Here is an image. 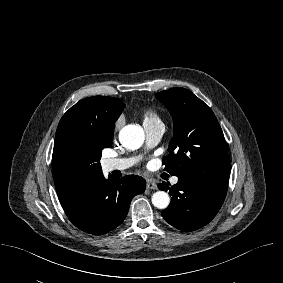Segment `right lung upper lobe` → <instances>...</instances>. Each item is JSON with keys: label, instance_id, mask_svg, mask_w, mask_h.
I'll return each instance as SVG.
<instances>
[{"label": "right lung upper lobe", "instance_id": "1", "mask_svg": "<svg viewBox=\"0 0 283 283\" xmlns=\"http://www.w3.org/2000/svg\"><path fill=\"white\" fill-rule=\"evenodd\" d=\"M125 104L118 98L93 96L72 106L59 122L53 149V176L60 202H64L86 180L102 173L101 168L79 170L72 164L74 133L85 130L103 140H113L115 121Z\"/></svg>", "mask_w": 283, "mask_h": 283}]
</instances>
